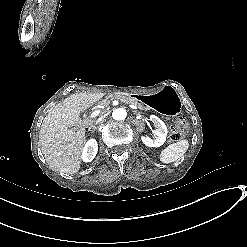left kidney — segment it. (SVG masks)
Instances as JSON below:
<instances>
[{
  "label": "left kidney",
  "mask_w": 247,
  "mask_h": 247,
  "mask_svg": "<svg viewBox=\"0 0 247 247\" xmlns=\"http://www.w3.org/2000/svg\"><path fill=\"white\" fill-rule=\"evenodd\" d=\"M150 119L153 121L155 125L154 135L155 138L151 139L150 137L142 136V142L148 147H160L166 141L167 136V127L162 120H160L157 116L151 115Z\"/></svg>",
  "instance_id": "obj_1"
}]
</instances>
